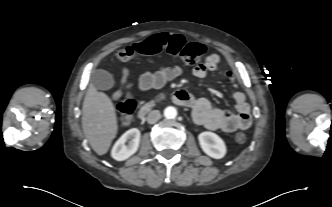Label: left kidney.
Wrapping results in <instances>:
<instances>
[{"label": "left kidney", "instance_id": "left-kidney-1", "mask_svg": "<svg viewBox=\"0 0 332 207\" xmlns=\"http://www.w3.org/2000/svg\"><path fill=\"white\" fill-rule=\"evenodd\" d=\"M201 149L214 159H221L226 154L224 141L213 132H202L198 135Z\"/></svg>", "mask_w": 332, "mask_h": 207}]
</instances>
